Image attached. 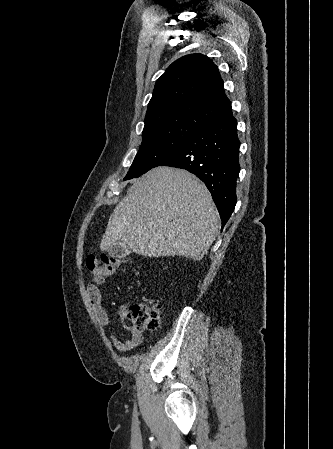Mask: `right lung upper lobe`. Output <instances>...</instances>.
<instances>
[{
    "label": "right lung upper lobe",
    "mask_w": 333,
    "mask_h": 449,
    "mask_svg": "<svg viewBox=\"0 0 333 449\" xmlns=\"http://www.w3.org/2000/svg\"><path fill=\"white\" fill-rule=\"evenodd\" d=\"M232 113L217 66L202 54L172 63L157 80L143 132L174 123L201 128Z\"/></svg>",
    "instance_id": "1"
}]
</instances>
